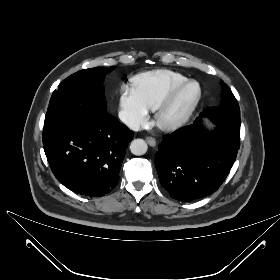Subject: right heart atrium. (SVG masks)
<instances>
[{"label":"right heart atrium","instance_id":"right-heart-atrium-1","mask_svg":"<svg viewBox=\"0 0 280 280\" xmlns=\"http://www.w3.org/2000/svg\"><path fill=\"white\" fill-rule=\"evenodd\" d=\"M120 116L130 128L137 129L148 118V109L143 105L134 89L122 85L120 89Z\"/></svg>","mask_w":280,"mask_h":280}]
</instances>
